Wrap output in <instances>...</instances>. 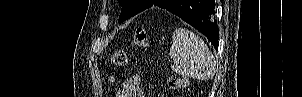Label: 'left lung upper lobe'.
<instances>
[{
  "mask_svg": "<svg viewBox=\"0 0 302 97\" xmlns=\"http://www.w3.org/2000/svg\"><path fill=\"white\" fill-rule=\"evenodd\" d=\"M155 0H118L121 5L119 23L151 7Z\"/></svg>",
  "mask_w": 302,
  "mask_h": 97,
  "instance_id": "5c2ea615",
  "label": "left lung upper lobe"
}]
</instances>
